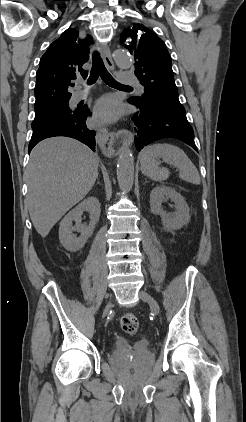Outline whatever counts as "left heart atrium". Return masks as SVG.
<instances>
[{"instance_id": "1", "label": "left heart atrium", "mask_w": 246, "mask_h": 422, "mask_svg": "<svg viewBox=\"0 0 246 422\" xmlns=\"http://www.w3.org/2000/svg\"><path fill=\"white\" fill-rule=\"evenodd\" d=\"M119 114L120 105L117 100L111 96L101 98L94 108V117L97 123L113 121Z\"/></svg>"}]
</instances>
